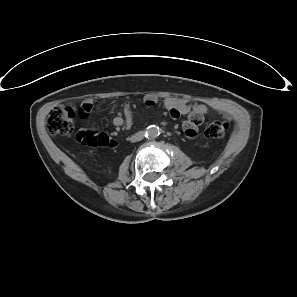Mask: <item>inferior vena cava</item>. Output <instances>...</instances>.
Returning <instances> with one entry per match:
<instances>
[{"instance_id":"602c4592","label":"inferior vena cava","mask_w":297,"mask_h":297,"mask_svg":"<svg viewBox=\"0 0 297 297\" xmlns=\"http://www.w3.org/2000/svg\"><path fill=\"white\" fill-rule=\"evenodd\" d=\"M144 136H145V133H144L143 131H141V132L137 133L135 137H136L138 140H141V139L144 138Z\"/></svg>"}]
</instances>
